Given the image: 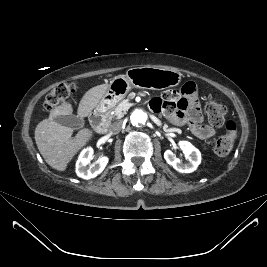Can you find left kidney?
I'll use <instances>...</instances> for the list:
<instances>
[{"mask_svg":"<svg viewBox=\"0 0 267 267\" xmlns=\"http://www.w3.org/2000/svg\"><path fill=\"white\" fill-rule=\"evenodd\" d=\"M179 147L183 151L188 162H181L171 150H166L164 153L166 162L180 173L194 172L201 162L200 151L188 141H180Z\"/></svg>","mask_w":267,"mask_h":267,"instance_id":"5707ae66","label":"left kidney"}]
</instances>
